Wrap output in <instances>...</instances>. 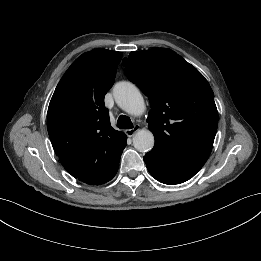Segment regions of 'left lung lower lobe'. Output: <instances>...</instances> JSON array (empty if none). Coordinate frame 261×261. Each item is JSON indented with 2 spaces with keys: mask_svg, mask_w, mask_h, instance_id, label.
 <instances>
[{
  "mask_svg": "<svg viewBox=\"0 0 261 261\" xmlns=\"http://www.w3.org/2000/svg\"><path fill=\"white\" fill-rule=\"evenodd\" d=\"M144 161L156 180L169 185L189 180L205 163L176 160L153 150L144 156Z\"/></svg>",
  "mask_w": 261,
  "mask_h": 261,
  "instance_id": "obj_1",
  "label": "left lung lower lobe"
}]
</instances>
